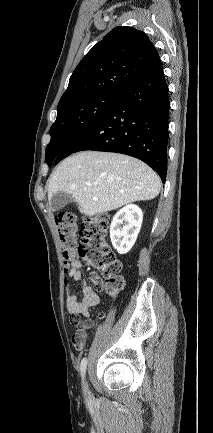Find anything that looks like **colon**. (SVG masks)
Wrapping results in <instances>:
<instances>
[{
  "label": "colon",
  "mask_w": 213,
  "mask_h": 433,
  "mask_svg": "<svg viewBox=\"0 0 213 433\" xmlns=\"http://www.w3.org/2000/svg\"><path fill=\"white\" fill-rule=\"evenodd\" d=\"M55 223L65 272H68L80 257L96 269L97 272L93 273L91 278L97 291L104 290L111 295L119 292L124 287V280L120 275L121 263L107 242L108 217L99 214L87 218L79 231V241L74 214L60 212L55 217ZM71 323L76 331H80L83 327L79 316H72Z\"/></svg>",
  "instance_id": "colon-1"
}]
</instances>
